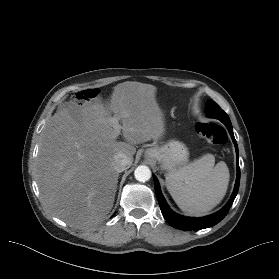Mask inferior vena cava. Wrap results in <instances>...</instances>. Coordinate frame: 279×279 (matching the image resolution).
<instances>
[{
  "label": "inferior vena cava",
  "instance_id": "602c4592",
  "mask_svg": "<svg viewBox=\"0 0 279 279\" xmlns=\"http://www.w3.org/2000/svg\"><path fill=\"white\" fill-rule=\"evenodd\" d=\"M131 164V158L123 153H118L114 156L113 167L117 172H122L128 169L131 166Z\"/></svg>",
  "mask_w": 279,
  "mask_h": 279
}]
</instances>
